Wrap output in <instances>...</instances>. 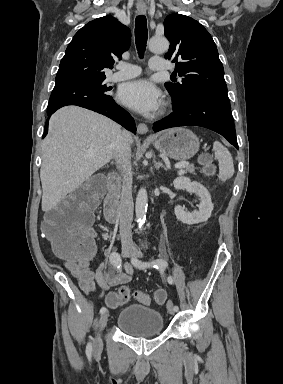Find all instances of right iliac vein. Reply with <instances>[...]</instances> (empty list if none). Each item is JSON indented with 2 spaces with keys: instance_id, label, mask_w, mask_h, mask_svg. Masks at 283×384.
Wrapping results in <instances>:
<instances>
[{
  "instance_id": "63e3f726",
  "label": "right iliac vein",
  "mask_w": 283,
  "mask_h": 384,
  "mask_svg": "<svg viewBox=\"0 0 283 384\" xmlns=\"http://www.w3.org/2000/svg\"><path fill=\"white\" fill-rule=\"evenodd\" d=\"M121 254L124 258H127L131 254V249L129 247L125 246L122 248ZM108 317H109L108 311L104 312L100 317L98 333H97V335L93 341V354L95 356L99 355L102 351L103 343H102V338H101V332L103 331V329L105 328V326L107 324Z\"/></svg>"
}]
</instances>
